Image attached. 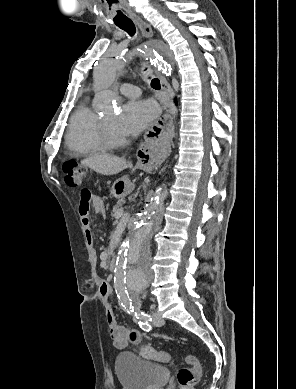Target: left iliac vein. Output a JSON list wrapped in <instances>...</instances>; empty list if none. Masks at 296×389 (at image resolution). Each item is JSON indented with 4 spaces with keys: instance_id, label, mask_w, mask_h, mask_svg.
<instances>
[{
    "instance_id": "left-iliac-vein-1",
    "label": "left iliac vein",
    "mask_w": 296,
    "mask_h": 389,
    "mask_svg": "<svg viewBox=\"0 0 296 389\" xmlns=\"http://www.w3.org/2000/svg\"><path fill=\"white\" fill-rule=\"evenodd\" d=\"M152 319H153V324L155 326H162L164 325V319L161 317V315L158 312H153L152 313Z\"/></svg>"
}]
</instances>
